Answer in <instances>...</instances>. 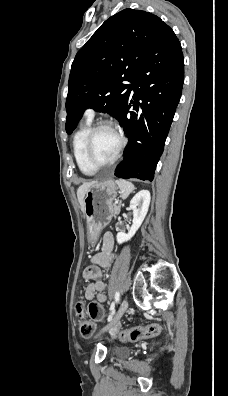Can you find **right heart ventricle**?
I'll return each mask as SVG.
<instances>
[{
    "instance_id": "e07e8e85",
    "label": "right heart ventricle",
    "mask_w": 228,
    "mask_h": 396,
    "mask_svg": "<svg viewBox=\"0 0 228 396\" xmlns=\"http://www.w3.org/2000/svg\"><path fill=\"white\" fill-rule=\"evenodd\" d=\"M92 128V118L87 117L80 128L75 132L72 140L73 153L76 163L82 173L90 175L96 170L91 168L84 157V144L86 137Z\"/></svg>"
}]
</instances>
